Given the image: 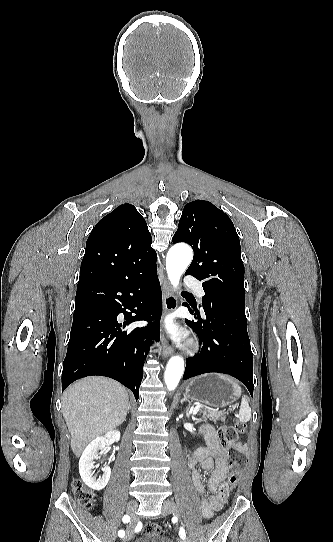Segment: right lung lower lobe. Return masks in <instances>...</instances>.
Instances as JSON below:
<instances>
[{
  "mask_svg": "<svg viewBox=\"0 0 333 542\" xmlns=\"http://www.w3.org/2000/svg\"><path fill=\"white\" fill-rule=\"evenodd\" d=\"M156 258L155 252L132 248L116 253L107 249L85 250L81 269H121L126 277L114 282L78 283L63 362L62 391L77 379L101 375L121 382L138 399L143 364L151 338L159 340V325L123 329L135 321L160 320L162 294Z\"/></svg>",
  "mask_w": 333,
  "mask_h": 542,
  "instance_id": "obj_1",
  "label": "right lung lower lobe"
}]
</instances>
